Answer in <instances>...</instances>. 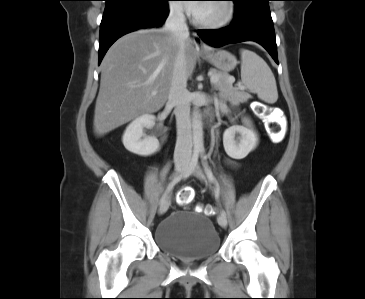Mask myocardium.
<instances>
[{
	"label": "myocardium",
	"mask_w": 365,
	"mask_h": 299,
	"mask_svg": "<svg viewBox=\"0 0 365 299\" xmlns=\"http://www.w3.org/2000/svg\"><path fill=\"white\" fill-rule=\"evenodd\" d=\"M227 9L226 15L218 20L213 22H204L199 20L195 15L193 17V23L204 29H220L231 24L236 16V5L233 0H223Z\"/></svg>",
	"instance_id": "f54148a6"
}]
</instances>
